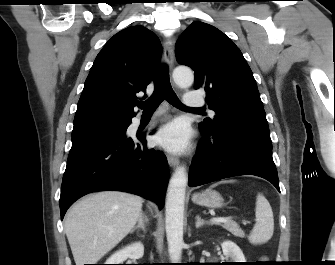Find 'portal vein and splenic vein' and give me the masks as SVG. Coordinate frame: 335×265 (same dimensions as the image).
<instances>
[{
  "mask_svg": "<svg viewBox=\"0 0 335 265\" xmlns=\"http://www.w3.org/2000/svg\"><path fill=\"white\" fill-rule=\"evenodd\" d=\"M227 220H228V218L218 217V218H213L212 222H215V223H219V222L225 223V222H227Z\"/></svg>",
  "mask_w": 335,
  "mask_h": 265,
  "instance_id": "portal-vein-and-splenic-vein-1",
  "label": "portal vein and splenic vein"
}]
</instances>
